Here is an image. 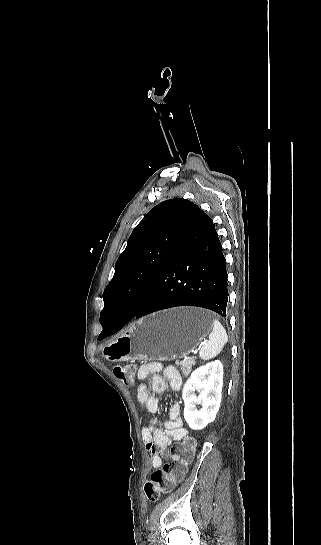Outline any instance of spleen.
<instances>
[{"label":"spleen","mask_w":321,"mask_h":545,"mask_svg":"<svg viewBox=\"0 0 321 545\" xmlns=\"http://www.w3.org/2000/svg\"><path fill=\"white\" fill-rule=\"evenodd\" d=\"M213 325L214 327L212 333L209 335V341H207L206 345H203L199 351V357L200 359H203V361H209V359L217 357L228 341L227 333L221 323L215 319Z\"/></svg>","instance_id":"spleen-1"}]
</instances>
